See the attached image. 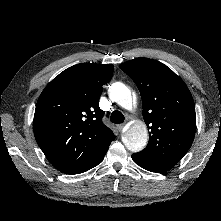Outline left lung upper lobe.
<instances>
[{
	"label": "left lung upper lobe",
	"instance_id": "1",
	"mask_svg": "<svg viewBox=\"0 0 221 221\" xmlns=\"http://www.w3.org/2000/svg\"><path fill=\"white\" fill-rule=\"evenodd\" d=\"M119 67L137 85L148 126L149 142L139 154L176 165L190 149L196 131L192 95L170 68L149 58H136Z\"/></svg>",
	"mask_w": 221,
	"mask_h": 221
}]
</instances>
